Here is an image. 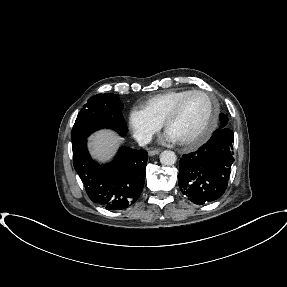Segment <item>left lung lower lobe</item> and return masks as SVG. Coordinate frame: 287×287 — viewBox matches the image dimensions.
I'll return each instance as SVG.
<instances>
[{"mask_svg": "<svg viewBox=\"0 0 287 287\" xmlns=\"http://www.w3.org/2000/svg\"><path fill=\"white\" fill-rule=\"evenodd\" d=\"M234 133L222 128L195 152L183 154L179 161V187L195 204H205L220 198L228 185L234 162Z\"/></svg>", "mask_w": 287, "mask_h": 287, "instance_id": "left-lung-lower-lobe-1", "label": "left lung lower lobe"}]
</instances>
